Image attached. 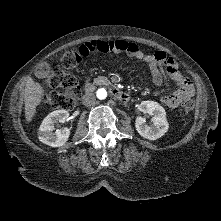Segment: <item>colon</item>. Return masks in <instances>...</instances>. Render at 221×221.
<instances>
[{
	"instance_id": "obj_1",
	"label": "colon",
	"mask_w": 221,
	"mask_h": 221,
	"mask_svg": "<svg viewBox=\"0 0 221 221\" xmlns=\"http://www.w3.org/2000/svg\"><path fill=\"white\" fill-rule=\"evenodd\" d=\"M83 56L79 51H67L62 57L64 69L77 67ZM45 83L53 90L44 95V102L54 109H71L80 98V86L77 78L63 69L49 68L46 72ZM194 108V102L188 98L183 103L184 113H190Z\"/></svg>"
}]
</instances>
